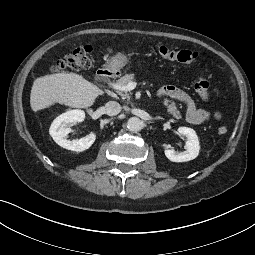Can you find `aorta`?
<instances>
[{
	"label": "aorta",
	"instance_id": "1",
	"mask_svg": "<svg viewBox=\"0 0 255 255\" xmlns=\"http://www.w3.org/2000/svg\"><path fill=\"white\" fill-rule=\"evenodd\" d=\"M127 128L131 132H138L143 128V121L138 117H131L127 121Z\"/></svg>",
	"mask_w": 255,
	"mask_h": 255
}]
</instances>
